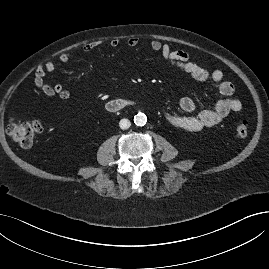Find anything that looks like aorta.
<instances>
[{
  "instance_id": "aorta-1",
  "label": "aorta",
  "mask_w": 269,
  "mask_h": 269,
  "mask_svg": "<svg viewBox=\"0 0 269 269\" xmlns=\"http://www.w3.org/2000/svg\"><path fill=\"white\" fill-rule=\"evenodd\" d=\"M147 122V117L143 113H138L137 115L134 116V123L137 126H144Z\"/></svg>"
}]
</instances>
